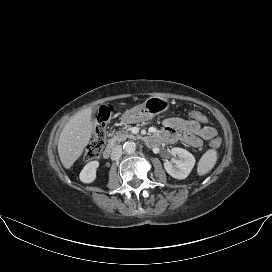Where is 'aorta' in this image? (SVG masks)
<instances>
[{"instance_id": "obj_1", "label": "aorta", "mask_w": 272, "mask_h": 272, "mask_svg": "<svg viewBox=\"0 0 272 272\" xmlns=\"http://www.w3.org/2000/svg\"><path fill=\"white\" fill-rule=\"evenodd\" d=\"M123 149L127 154H132L136 150V145L134 142L128 141L124 143Z\"/></svg>"}]
</instances>
